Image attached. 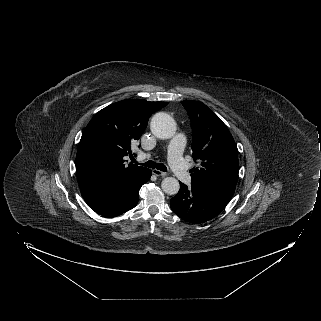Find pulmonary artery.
I'll list each match as a JSON object with an SVG mask.
<instances>
[{"instance_id":"e3ab8cb5","label":"pulmonary artery","mask_w":321,"mask_h":321,"mask_svg":"<svg viewBox=\"0 0 321 321\" xmlns=\"http://www.w3.org/2000/svg\"><path fill=\"white\" fill-rule=\"evenodd\" d=\"M185 146V137L182 134L175 135L168 146V162L170 168L176 177L184 184H191V174L187 169L186 162L182 157L183 148ZM146 155L142 154L144 158Z\"/></svg>"}]
</instances>
